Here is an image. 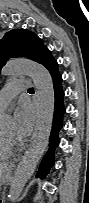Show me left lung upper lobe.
Returning a JSON list of instances; mask_svg holds the SVG:
<instances>
[{
	"instance_id": "1",
	"label": "left lung upper lobe",
	"mask_w": 89,
	"mask_h": 203,
	"mask_svg": "<svg viewBox=\"0 0 89 203\" xmlns=\"http://www.w3.org/2000/svg\"><path fill=\"white\" fill-rule=\"evenodd\" d=\"M46 46L27 29L11 30L0 40V69L10 57H25L39 62Z\"/></svg>"
}]
</instances>
